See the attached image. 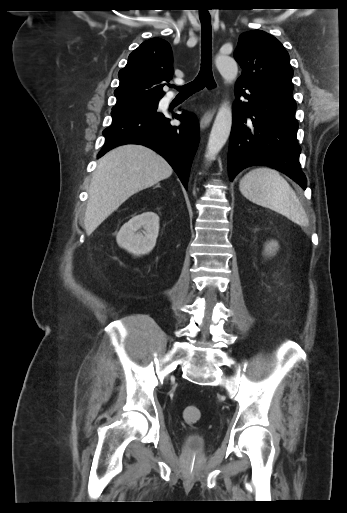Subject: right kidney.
I'll list each match as a JSON object with an SVG mask.
<instances>
[{"mask_svg": "<svg viewBox=\"0 0 347 513\" xmlns=\"http://www.w3.org/2000/svg\"><path fill=\"white\" fill-rule=\"evenodd\" d=\"M158 233L159 216L154 212H144L125 223L119 230L116 240L121 248L140 256L152 251Z\"/></svg>", "mask_w": 347, "mask_h": 513, "instance_id": "1", "label": "right kidney"}]
</instances>
